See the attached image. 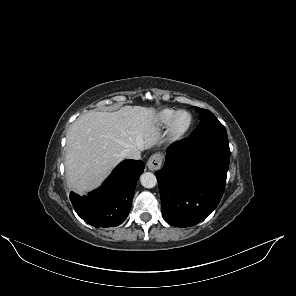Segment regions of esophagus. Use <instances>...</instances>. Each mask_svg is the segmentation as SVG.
Listing matches in <instances>:
<instances>
[{"mask_svg":"<svg viewBox=\"0 0 296 296\" xmlns=\"http://www.w3.org/2000/svg\"><path fill=\"white\" fill-rule=\"evenodd\" d=\"M162 165V156L158 153L153 154L148 162H147V167L150 171H155L158 170Z\"/></svg>","mask_w":296,"mask_h":296,"instance_id":"34e87169","label":"esophagus"}]
</instances>
